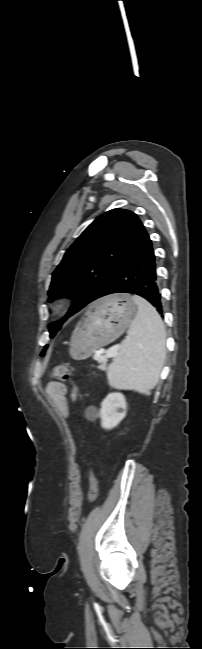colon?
<instances>
[{
  "mask_svg": "<svg viewBox=\"0 0 202 649\" xmlns=\"http://www.w3.org/2000/svg\"><path fill=\"white\" fill-rule=\"evenodd\" d=\"M70 376V369L65 364H56L51 372L50 378L55 381H66ZM98 494V479L94 476L91 479L89 491L87 495V501L93 502Z\"/></svg>",
  "mask_w": 202,
  "mask_h": 649,
  "instance_id": "1",
  "label": "colon"
}]
</instances>
